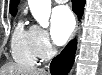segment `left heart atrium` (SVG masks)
Here are the masks:
<instances>
[{
  "instance_id": "obj_1",
  "label": "left heart atrium",
  "mask_w": 102,
  "mask_h": 75,
  "mask_svg": "<svg viewBox=\"0 0 102 75\" xmlns=\"http://www.w3.org/2000/svg\"><path fill=\"white\" fill-rule=\"evenodd\" d=\"M75 18L67 6L55 8L51 15V37L55 44L63 45L72 34Z\"/></svg>"
}]
</instances>
